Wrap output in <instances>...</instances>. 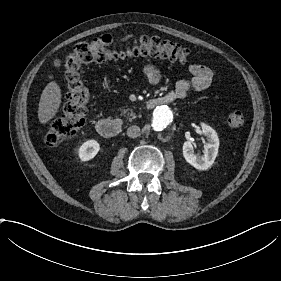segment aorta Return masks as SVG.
<instances>
[{
    "label": "aorta",
    "mask_w": 281,
    "mask_h": 281,
    "mask_svg": "<svg viewBox=\"0 0 281 281\" xmlns=\"http://www.w3.org/2000/svg\"><path fill=\"white\" fill-rule=\"evenodd\" d=\"M173 121V113L171 109L166 106H158L153 112V127L155 130H163L168 127Z\"/></svg>",
    "instance_id": "obj_1"
}]
</instances>
